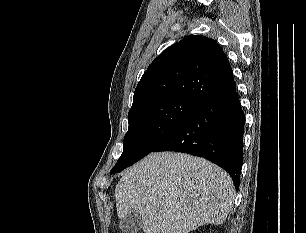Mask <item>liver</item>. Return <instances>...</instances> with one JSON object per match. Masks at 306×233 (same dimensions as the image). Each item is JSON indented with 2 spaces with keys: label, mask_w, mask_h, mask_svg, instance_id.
I'll use <instances>...</instances> for the list:
<instances>
[{
  "label": "liver",
  "mask_w": 306,
  "mask_h": 233,
  "mask_svg": "<svg viewBox=\"0 0 306 233\" xmlns=\"http://www.w3.org/2000/svg\"><path fill=\"white\" fill-rule=\"evenodd\" d=\"M235 189L220 167L184 153H151L122 175L115 189L121 219L136 210L145 233H189L222 224Z\"/></svg>",
  "instance_id": "6515ba94"
}]
</instances>
